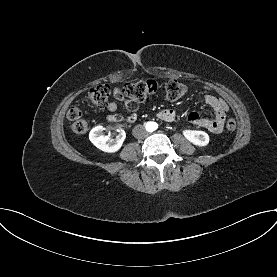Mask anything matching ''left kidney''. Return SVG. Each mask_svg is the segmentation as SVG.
I'll use <instances>...</instances> for the list:
<instances>
[{
  "instance_id": "obj_1",
  "label": "left kidney",
  "mask_w": 277,
  "mask_h": 277,
  "mask_svg": "<svg viewBox=\"0 0 277 277\" xmlns=\"http://www.w3.org/2000/svg\"><path fill=\"white\" fill-rule=\"evenodd\" d=\"M185 138L197 146H206L209 143V135L204 131L199 130H184Z\"/></svg>"
}]
</instances>
